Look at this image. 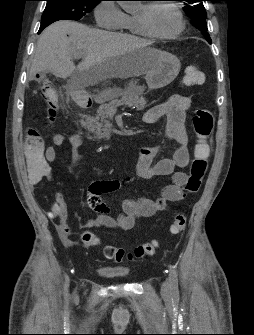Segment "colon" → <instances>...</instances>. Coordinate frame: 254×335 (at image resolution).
Segmentation results:
<instances>
[{"mask_svg":"<svg viewBox=\"0 0 254 335\" xmlns=\"http://www.w3.org/2000/svg\"><path fill=\"white\" fill-rule=\"evenodd\" d=\"M203 74L198 66L188 65L185 69L183 83L187 86L199 85L202 82ZM43 96L48 102V113L46 119L51 121L54 119L58 107V95L55 87L52 85H44L41 89ZM192 123L197 137V143L194 151L188 178L184 184V192L193 194L199 191L203 178L205 176L208 159L210 156V148L207 139L210 138L214 128V117L208 109H197L192 116ZM25 178H52L53 173L51 166L48 165L46 159H43V141L40 132L36 128L28 130L25 139ZM186 227V216L177 213L170 225L172 234H180ZM82 242L88 248L98 246L99 239L92 232H84L82 234ZM158 243L155 240L146 242L132 251H126L122 248L107 246L104 248V256L115 262H123L125 260H140L155 254Z\"/></svg>","mask_w":254,"mask_h":335,"instance_id":"obj_1","label":"colon"}]
</instances>
